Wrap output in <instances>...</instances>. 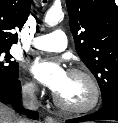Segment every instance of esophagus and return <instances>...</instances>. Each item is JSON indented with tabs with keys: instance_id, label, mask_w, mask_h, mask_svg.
Returning <instances> with one entry per match:
<instances>
[{
	"instance_id": "34e87169",
	"label": "esophagus",
	"mask_w": 118,
	"mask_h": 123,
	"mask_svg": "<svg viewBox=\"0 0 118 123\" xmlns=\"http://www.w3.org/2000/svg\"><path fill=\"white\" fill-rule=\"evenodd\" d=\"M45 122L46 123H57V120L55 118L51 117V116H47L45 118Z\"/></svg>"
}]
</instances>
